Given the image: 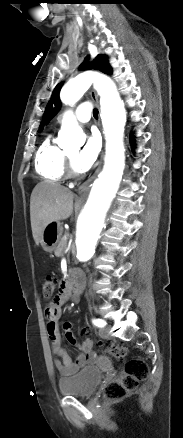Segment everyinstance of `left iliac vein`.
Wrapping results in <instances>:
<instances>
[{
  "mask_svg": "<svg viewBox=\"0 0 183 438\" xmlns=\"http://www.w3.org/2000/svg\"><path fill=\"white\" fill-rule=\"evenodd\" d=\"M109 329L108 328H101L100 330H99V336L101 337V338H104V339H109L110 338V336H109Z\"/></svg>",
  "mask_w": 183,
  "mask_h": 438,
  "instance_id": "obj_1",
  "label": "left iliac vein"
}]
</instances>
